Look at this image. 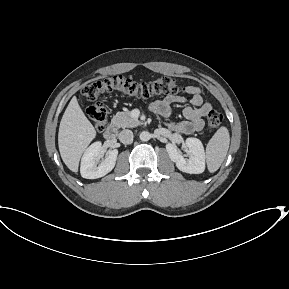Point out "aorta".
<instances>
[{"label": "aorta", "instance_id": "obj_1", "mask_svg": "<svg viewBox=\"0 0 289 289\" xmlns=\"http://www.w3.org/2000/svg\"><path fill=\"white\" fill-rule=\"evenodd\" d=\"M140 140L141 141H148V140H150V138H151V134L149 133V132H147V131H143V132H141L140 133Z\"/></svg>", "mask_w": 289, "mask_h": 289}]
</instances>
